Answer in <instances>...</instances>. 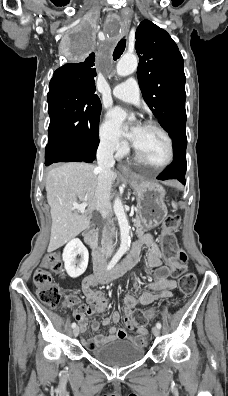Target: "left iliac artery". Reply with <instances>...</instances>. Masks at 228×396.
<instances>
[{"instance_id":"left-iliac-artery-1","label":"left iliac artery","mask_w":228,"mask_h":396,"mask_svg":"<svg viewBox=\"0 0 228 396\" xmlns=\"http://www.w3.org/2000/svg\"><path fill=\"white\" fill-rule=\"evenodd\" d=\"M156 327H158L159 329L161 328V323L160 322H157L156 323Z\"/></svg>"}]
</instances>
